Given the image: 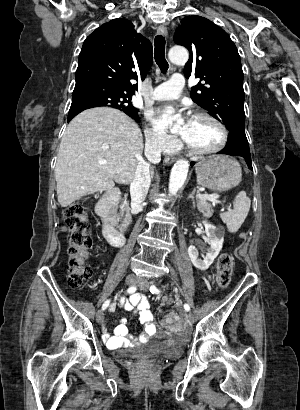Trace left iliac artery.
Returning <instances> with one entry per match:
<instances>
[{
	"instance_id": "44dca946",
	"label": "left iliac artery",
	"mask_w": 300,
	"mask_h": 410,
	"mask_svg": "<svg viewBox=\"0 0 300 410\" xmlns=\"http://www.w3.org/2000/svg\"><path fill=\"white\" fill-rule=\"evenodd\" d=\"M150 292H151L152 294H158V293H160V290H159L155 285H151V286H150ZM184 309H185L186 311H189V310H190V306H189L187 303H185V304H184Z\"/></svg>"
}]
</instances>
